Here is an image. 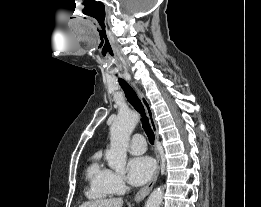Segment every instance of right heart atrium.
<instances>
[{"label": "right heart atrium", "instance_id": "right-heart-atrium-1", "mask_svg": "<svg viewBox=\"0 0 261 207\" xmlns=\"http://www.w3.org/2000/svg\"><path fill=\"white\" fill-rule=\"evenodd\" d=\"M109 185L112 193L114 194H120L124 192V190L126 189V182L124 177L115 172H111L109 178Z\"/></svg>", "mask_w": 261, "mask_h": 207}]
</instances>
